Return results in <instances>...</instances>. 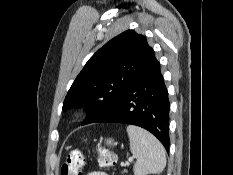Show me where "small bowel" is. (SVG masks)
Returning a JSON list of instances; mask_svg holds the SVG:
<instances>
[{
	"label": "small bowel",
	"mask_w": 233,
	"mask_h": 175,
	"mask_svg": "<svg viewBox=\"0 0 233 175\" xmlns=\"http://www.w3.org/2000/svg\"><path fill=\"white\" fill-rule=\"evenodd\" d=\"M88 175H108V174L101 171H92Z\"/></svg>",
	"instance_id": "small-bowel-1"
}]
</instances>
